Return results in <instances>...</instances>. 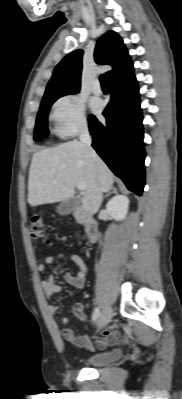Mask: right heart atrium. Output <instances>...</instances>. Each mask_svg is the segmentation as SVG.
Wrapping results in <instances>:
<instances>
[{"label":"right heart atrium","instance_id":"d8ad5b80","mask_svg":"<svg viewBox=\"0 0 182 399\" xmlns=\"http://www.w3.org/2000/svg\"><path fill=\"white\" fill-rule=\"evenodd\" d=\"M53 132L61 138L75 135L87 127L86 108L83 98L75 93L57 99L51 111Z\"/></svg>","mask_w":182,"mask_h":399}]
</instances>
